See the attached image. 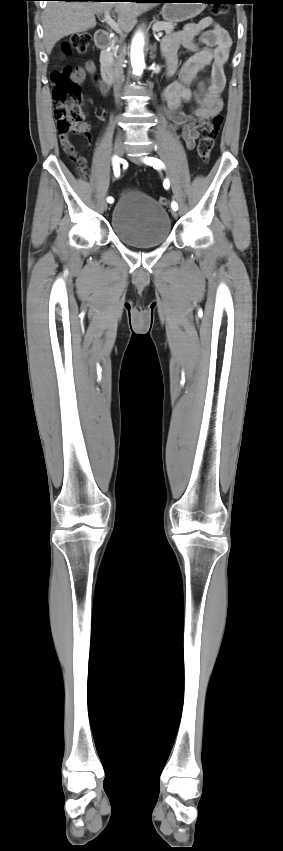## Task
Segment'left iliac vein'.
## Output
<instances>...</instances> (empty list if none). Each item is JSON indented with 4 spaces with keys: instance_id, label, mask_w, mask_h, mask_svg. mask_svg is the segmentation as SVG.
<instances>
[{
    "instance_id": "4c4485c4",
    "label": "left iliac vein",
    "mask_w": 283,
    "mask_h": 851,
    "mask_svg": "<svg viewBox=\"0 0 283 851\" xmlns=\"http://www.w3.org/2000/svg\"><path fill=\"white\" fill-rule=\"evenodd\" d=\"M128 158H129L132 162H134V163H136V164H142V163H143V161H142V158H141V157L134 156V155H128ZM172 216H173L174 218H177L178 214H177V212H176L175 210H173V211H172Z\"/></svg>"
}]
</instances>
